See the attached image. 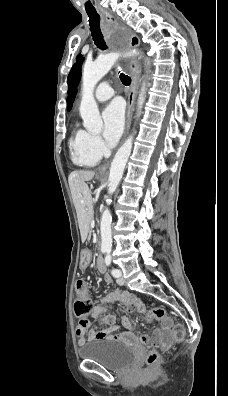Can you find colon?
<instances>
[{"label": "colon", "mask_w": 228, "mask_h": 396, "mask_svg": "<svg viewBox=\"0 0 228 396\" xmlns=\"http://www.w3.org/2000/svg\"><path fill=\"white\" fill-rule=\"evenodd\" d=\"M76 300L74 303V311L76 316L79 318L78 327L87 328L89 321L87 315L93 310L92 302L88 296V290L86 283L83 280H78L75 285ZM147 321L151 322L158 320L163 322L165 325L170 324V319L163 308L156 307L149 310L146 314ZM173 340L180 342L185 337V328L181 324H175L172 328ZM158 358V354L152 351L147 357V364H153Z\"/></svg>", "instance_id": "1"}]
</instances>
